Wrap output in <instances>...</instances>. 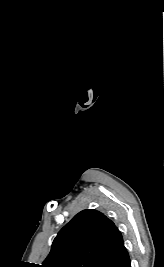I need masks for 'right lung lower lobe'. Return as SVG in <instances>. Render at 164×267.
Instances as JSON below:
<instances>
[{"instance_id":"1","label":"right lung lower lobe","mask_w":164,"mask_h":267,"mask_svg":"<svg viewBox=\"0 0 164 267\" xmlns=\"http://www.w3.org/2000/svg\"><path fill=\"white\" fill-rule=\"evenodd\" d=\"M99 267H131L130 258L125 247L121 248Z\"/></svg>"}]
</instances>
